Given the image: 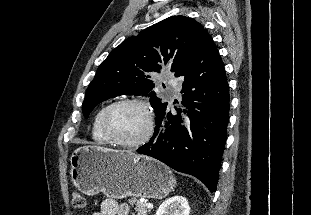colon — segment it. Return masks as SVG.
<instances>
[{"mask_svg": "<svg viewBox=\"0 0 311 215\" xmlns=\"http://www.w3.org/2000/svg\"><path fill=\"white\" fill-rule=\"evenodd\" d=\"M86 201L83 195L78 192L73 193L72 195V207L75 210H81L85 207Z\"/></svg>", "mask_w": 311, "mask_h": 215, "instance_id": "colon-1", "label": "colon"}]
</instances>
